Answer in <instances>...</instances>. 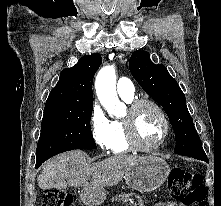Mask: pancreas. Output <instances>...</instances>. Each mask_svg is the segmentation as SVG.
I'll list each match as a JSON object with an SVG mask.
<instances>
[{
    "mask_svg": "<svg viewBox=\"0 0 221 206\" xmlns=\"http://www.w3.org/2000/svg\"><path fill=\"white\" fill-rule=\"evenodd\" d=\"M133 198H136L137 199V202L134 203L132 202V205L133 206H143V199L141 196L139 195H136L135 193H123V194H119V195H116L115 197L112 198V202H124V203H127L128 201H132Z\"/></svg>",
    "mask_w": 221,
    "mask_h": 206,
    "instance_id": "cf45deb5",
    "label": "pancreas"
}]
</instances>
